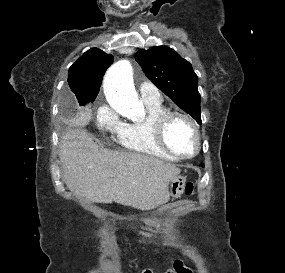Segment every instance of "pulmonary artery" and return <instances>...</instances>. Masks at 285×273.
I'll list each match as a JSON object with an SVG mask.
<instances>
[{"label":"pulmonary artery","mask_w":285,"mask_h":273,"mask_svg":"<svg viewBox=\"0 0 285 273\" xmlns=\"http://www.w3.org/2000/svg\"><path fill=\"white\" fill-rule=\"evenodd\" d=\"M139 91L144 102H158L162 100L159 90L151 82H142L139 86Z\"/></svg>","instance_id":"obj_1"}]
</instances>
